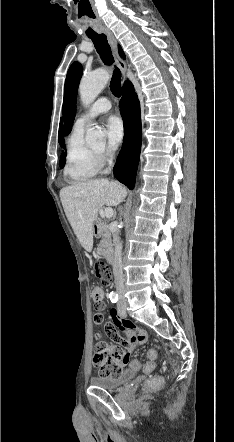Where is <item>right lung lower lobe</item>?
<instances>
[{"label": "right lung lower lobe", "instance_id": "obj_1", "mask_svg": "<svg viewBox=\"0 0 234 442\" xmlns=\"http://www.w3.org/2000/svg\"><path fill=\"white\" fill-rule=\"evenodd\" d=\"M120 109L124 119V138L113 173L118 181L132 190L139 163L142 137L139 101L129 81L123 86Z\"/></svg>", "mask_w": 234, "mask_h": 442}]
</instances>
